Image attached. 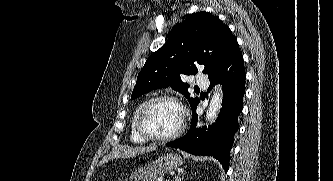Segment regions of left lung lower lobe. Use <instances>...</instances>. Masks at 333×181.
Instances as JSON below:
<instances>
[{"label":"left lung lower lobe","instance_id":"1","mask_svg":"<svg viewBox=\"0 0 333 181\" xmlns=\"http://www.w3.org/2000/svg\"><path fill=\"white\" fill-rule=\"evenodd\" d=\"M210 86L222 84L223 101L216 123L203 128H196L198 115L197 105L192 108V122L184 137L166 144L179 148L193 155L215 157L224 167L229 169V153L232 148L234 134L238 131V115L242 110L245 93V69L242 53L237 46L225 62L208 76Z\"/></svg>","mask_w":333,"mask_h":181}]
</instances>
